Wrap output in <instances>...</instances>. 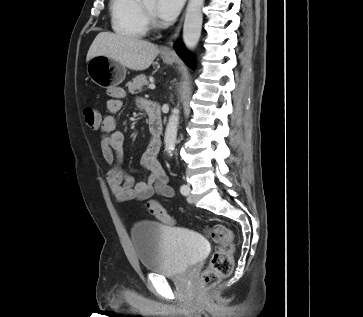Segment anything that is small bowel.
Returning a JSON list of instances; mask_svg holds the SVG:
<instances>
[{"mask_svg": "<svg viewBox=\"0 0 363 317\" xmlns=\"http://www.w3.org/2000/svg\"><path fill=\"white\" fill-rule=\"evenodd\" d=\"M107 101L108 115L102 119L100 131V146L110 170L106 175L108 186L118 202L145 200L154 194L172 197L173 189L168 184V176L157 160L159 148L151 144L141 158V166L146 171L145 177L135 180L122 171L119 163L125 144V134L116 129V115L123 106L125 91L123 88H112Z\"/></svg>", "mask_w": 363, "mask_h": 317, "instance_id": "obj_1", "label": "small bowel"}]
</instances>
